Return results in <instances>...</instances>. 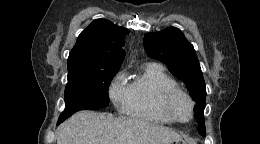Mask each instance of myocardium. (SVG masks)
<instances>
[{
	"label": "myocardium",
	"instance_id": "f54148a6",
	"mask_svg": "<svg viewBox=\"0 0 260 144\" xmlns=\"http://www.w3.org/2000/svg\"><path fill=\"white\" fill-rule=\"evenodd\" d=\"M177 97H184L190 104V116L188 119H180L178 118L173 109H172V104L174 100ZM158 106L161 110V112L168 117L172 122L175 123H180V124H186L190 122L193 117H194V108H195V102L192 99V97L187 93L186 91L176 87V88H171L163 91L159 98Z\"/></svg>",
	"mask_w": 260,
	"mask_h": 144
}]
</instances>
